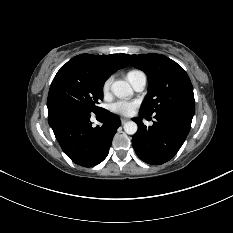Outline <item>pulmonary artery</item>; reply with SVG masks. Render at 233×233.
Instances as JSON below:
<instances>
[{
  "label": "pulmonary artery",
  "instance_id": "obj_1",
  "mask_svg": "<svg viewBox=\"0 0 233 233\" xmlns=\"http://www.w3.org/2000/svg\"><path fill=\"white\" fill-rule=\"evenodd\" d=\"M146 82H147L146 76L142 75L139 78H137V80L132 84V86L136 91L140 92L144 90L146 86Z\"/></svg>",
  "mask_w": 233,
  "mask_h": 233
}]
</instances>
